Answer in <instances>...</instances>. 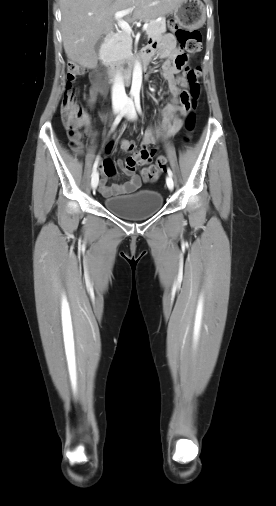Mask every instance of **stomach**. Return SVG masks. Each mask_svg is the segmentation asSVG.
Segmentation results:
<instances>
[{"instance_id":"obj_1","label":"stomach","mask_w":276,"mask_h":506,"mask_svg":"<svg viewBox=\"0 0 276 506\" xmlns=\"http://www.w3.org/2000/svg\"><path fill=\"white\" fill-rule=\"evenodd\" d=\"M173 14L175 21L187 28H199L206 20V8L201 0H183Z\"/></svg>"}]
</instances>
